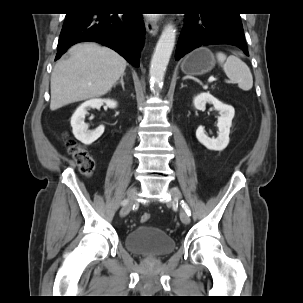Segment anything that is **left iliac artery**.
<instances>
[{
    "label": "left iliac artery",
    "mask_w": 303,
    "mask_h": 303,
    "mask_svg": "<svg viewBox=\"0 0 303 303\" xmlns=\"http://www.w3.org/2000/svg\"><path fill=\"white\" fill-rule=\"evenodd\" d=\"M181 206L185 210V212L190 216L191 215V210L186 202L183 200L181 201Z\"/></svg>",
    "instance_id": "44dca946"
}]
</instances>
